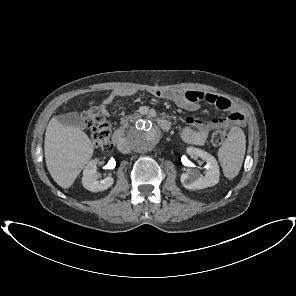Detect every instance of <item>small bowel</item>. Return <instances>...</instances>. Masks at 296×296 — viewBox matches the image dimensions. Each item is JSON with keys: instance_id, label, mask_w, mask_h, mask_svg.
Wrapping results in <instances>:
<instances>
[{"instance_id": "c3829d8e", "label": "small bowel", "mask_w": 296, "mask_h": 296, "mask_svg": "<svg viewBox=\"0 0 296 296\" xmlns=\"http://www.w3.org/2000/svg\"><path fill=\"white\" fill-rule=\"evenodd\" d=\"M152 93L158 98L174 102L179 108L184 110L195 111L201 107L202 103H207L227 113L225 117L208 121L188 117L186 119V125L180 131V137L189 144L202 145L212 130L243 125L245 122V117L241 110L224 97L195 90H154ZM131 94L132 91L128 89H116L112 91L100 105L102 113L105 115L108 114V106L117 98L126 97Z\"/></svg>"}]
</instances>
